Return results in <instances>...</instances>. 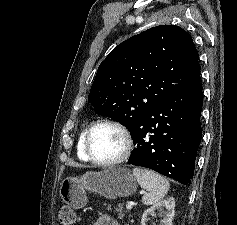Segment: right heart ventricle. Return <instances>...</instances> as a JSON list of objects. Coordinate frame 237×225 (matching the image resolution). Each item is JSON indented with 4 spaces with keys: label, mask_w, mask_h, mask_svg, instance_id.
Masks as SVG:
<instances>
[{
    "label": "right heart ventricle",
    "mask_w": 237,
    "mask_h": 225,
    "mask_svg": "<svg viewBox=\"0 0 237 225\" xmlns=\"http://www.w3.org/2000/svg\"><path fill=\"white\" fill-rule=\"evenodd\" d=\"M86 131H87V128H84L80 132L78 136V141H77V156L80 160L85 161V162L89 161L84 151V139H85Z\"/></svg>",
    "instance_id": "1"
}]
</instances>
